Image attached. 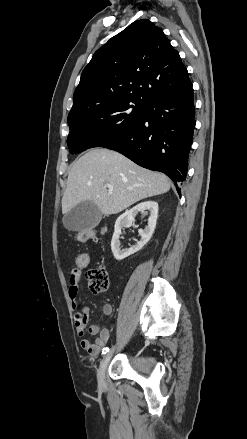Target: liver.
Segmentation results:
<instances>
[{"instance_id": "1", "label": "liver", "mask_w": 247, "mask_h": 439, "mask_svg": "<svg viewBox=\"0 0 247 439\" xmlns=\"http://www.w3.org/2000/svg\"><path fill=\"white\" fill-rule=\"evenodd\" d=\"M106 184L113 185V190ZM170 185L166 175L145 169L118 152L91 149L69 171L62 213L92 201L101 213L117 214L140 200L168 192Z\"/></svg>"}]
</instances>
